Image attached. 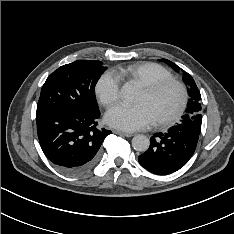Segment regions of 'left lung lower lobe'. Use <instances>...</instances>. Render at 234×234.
Listing matches in <instances>:
<instances>
[{
    "label": "left lung lower lobe",
    "instance_id": "0a47b994",
    "mask_svg": "<svg viewBox=\"0 0 234 234\" xmlns=\"http://www.w3.org/2000/svg\"><path fill=\"white\" fill-rule=\"evenodd\" d=\"M199 135L180 125L173 126L167 133H156L150 139L149 149L138 157V161L154 174L173 173L191 158Z\"/></svg>",
    "mask_w": 234,
    "mask_h": 234
}]
</instances>
